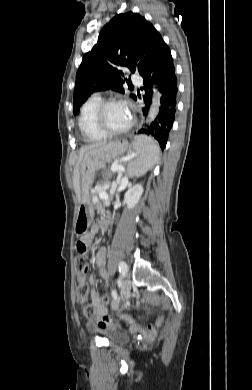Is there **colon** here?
Segmentation results:
<instances>
[{
  "label": "colon",
  "instance_id": "colon-1",
  "mask_svg": "<svg viewBox=\"0 0 252 390\" xmlns=\"http://www.w3.org/2000/svg\"><path fill=\"white\" fill-rule=\"evenodd\" d=\"M78 232L81 233V234H85V232H86V225L83 224V225L79 226L78 227ZM81 248L86 251V249H87L86 244L85 243H81ZM84 254L85 253H79V255L76 256V258H75V272H76L77 277H78V284H77V287H76V297H77V300L80 301V302H85L86 301V298H87L88 292H89V286H88V282H87V279H86V276H87V263H86ZM102 300H103L104 304H107V305L109 304V298L107 296L104 295L102 297ZM83 312L87 316H93L95 314V309H94V307L91 304H85L83 306ZM114 319L115 320H124L125 321V316L122 315V314H116L114 316L106 314L104 316H100L99 323H100V325L105 326L106 324H108L109 322H111ZM159 325H160V321L155 323L154 325H151L150 326V330L152 332H155L157 330V328L159 327Z\"/></svg>",
  "mask_w": 252,
  "mask_h": 390
}]
</instances>
